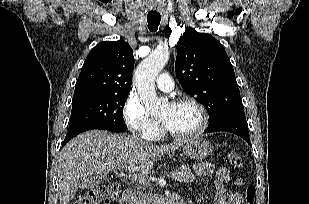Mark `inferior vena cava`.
Segmentation results:
<instances>
[{"instance_id": "inferior-vena-cava-1", "label": "inferior vena cava", "mask_w": 309, "mask_h": 204, "mask_svg": "<svg viewBox=\"0 0 309 204\" xmlns=\"http://www.w3.org/2000/svg\"><path fill=\"white\" fill-rule=\"evenodd\" d=\"M135 138L141 140L139 137L134 136ZM146 196L144 193H142L139 189L136 193L133 194V196L130 199V204H146L145 202Z\"/></svg>"}]
</instances>
